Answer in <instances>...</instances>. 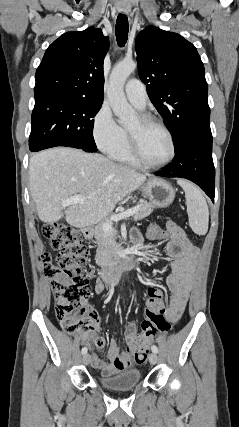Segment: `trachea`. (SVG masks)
<instances>
[{
    "label": "trachea",
    "instance_id": "trachea-1",
    "mask_svg": "<svg viewBox=\"0 0 239 427\" xmlns=\"http://www.w3.org/2000/svg\"><path fill=\"white\" fill-rule=\"evenodd\" d=\"M128 18L126 15H119L116 21V40L120 47H123L128 38Z\"/></svg>",
    "mask_w": 239,
    "mask_h": 427
}]
</instances>
